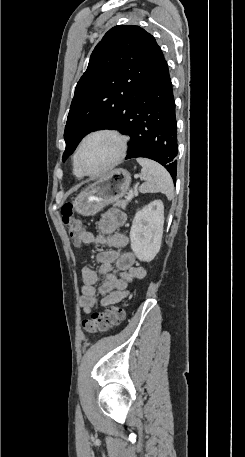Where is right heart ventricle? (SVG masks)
Listing matches in <instances>:
<instances>
[{
    "instance_id": "1",
    "label": "right heart ventricle",
    "mask_w": 245,
    "mask_h": 457,
    "mask_svg": "<svg viewBox=\"0 0 245 457\" xmlns=\"http://www.w3.org/2000/svg\"><path fill=\"white\" fill-rule=\"evenodd\" d=\"M73 171H74V174H75L77 177L81 178V177L83 176L82 173L79 171V169H78V167H77V165H76L75 162H74V169H73Z\"/></svg>"
}]
</instances>
